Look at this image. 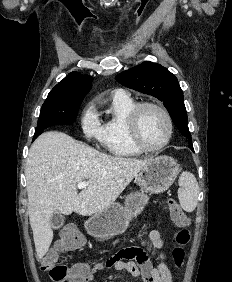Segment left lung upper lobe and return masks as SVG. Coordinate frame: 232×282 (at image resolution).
Instances as JSON below:
<instances>
[{"mask_svg":"<svg viewBox=\"0 0 232 282\" xmlns=\"http://www.w3.org/2000/svg\"><path fill=\"white\" fill-rule=\"evenodd\" d=\"M116 80L128 88L152 95L162 101L180 132L191 139L183 92L177 78L165 67L143 62L117 75ZM191 146L193 147L190 142Z\"/></svg>","mask_w":232,"mask_h":282,"instance_id":"obj_1","label":"left lung upper lobe"}]
</instances>
